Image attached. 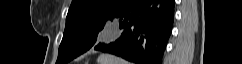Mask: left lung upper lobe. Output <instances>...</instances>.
I'll return each mask as SVG.
<instances>
[{
    "instance_id": "5c2ea615",
    "label": "left lung upper lobe",
    "mask_w": 242,
    "mask_h": 64,
    "mask_svg": "<svg viewBox=\"0 0 242 64\" xmlns=\"http://www.w3.org/2000/svg\"><path fill=\"white\" fill-rule=\"evenodd\" d=\"M130 0H72L56 64H66L96 43L105 23Z\"/></svg>"
}]
</instances>
